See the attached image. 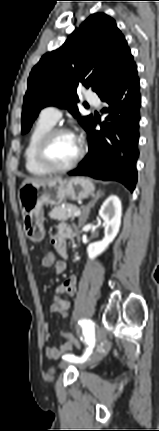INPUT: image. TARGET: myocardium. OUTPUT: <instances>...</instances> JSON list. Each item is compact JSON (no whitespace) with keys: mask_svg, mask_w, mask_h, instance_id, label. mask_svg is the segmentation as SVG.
<instances>
[{"mask_svg":"<svg viewBox=\"0 0 159 431\" xmlns=\"http://www.w3.org/2000/svg\"><path fill=\"white\" fill-rule=\"evenodd\" d=\"M64 133L74 135V133L69 128L62 127V126L53 127L44 134V136L41 138V140L37 145V149H36L37 161L42 167H44L49 172H52V173L67 172L73 169L74 167H76L84 155L83 145L79 141L78 153L76 157L69 164L64 166H57L51 161L49 157V147L56 136Z\"/></svg>","mask_w":159,"mask_h":431,"instance_id":"obj_1","label":"myocardium"}]
</instances>
